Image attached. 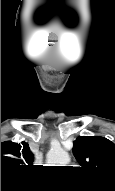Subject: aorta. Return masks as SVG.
<instances>
[{"label":"aorta","mask_w":115,"mask_h":191,"mask_svg":"<svg viewBox=\"0 0 115 191\" xmlns=\"http://www.w3.org/2000/svg\"><path fill=\"white\" fill-rule=\"evenodd\" d=\"M48 160L52 165L65 166L70 162V157L68 152L58 149L49 152Z\"/></svg>","instance_id":"1"}]
</instances>
